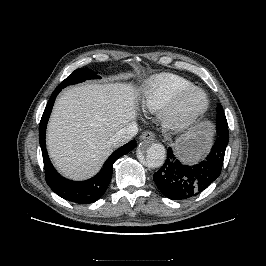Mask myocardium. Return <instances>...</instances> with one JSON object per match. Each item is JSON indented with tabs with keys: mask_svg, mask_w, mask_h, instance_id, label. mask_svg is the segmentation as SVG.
<instances>
[{
	"mask_svg": "<svg viewBox=\"0 0 266 266\" xmlns=\"http://www.w3.org/2000/svg\"><path fill=\"white\" fill-rule=\"evenodd\" d=\"M190 93H198L203 98L202 106L193 111H188L183 105ZM209 106L210 100L205 90L193 85L177 92L161 109L159 116L165 125L180 128L199 120L208 111Z\"/></svg>",
	"mask_w": 266,
	"mask_h": 266,
	"instance_id": "obj_1",
	"label": "myocardium"
}]
</instances>
